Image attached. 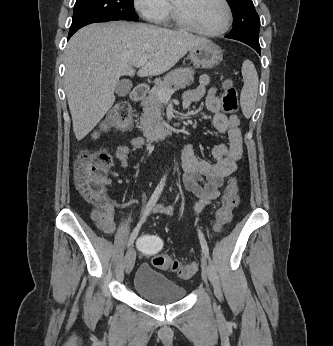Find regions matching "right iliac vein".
I'll return each mask as SVG.
<instances>
[{"label":"right iliac vein","instance_id":"right-iliac-vein-1","mask_svg":"<svg viewBox=\"0 0 333 346\" xmlns=\"http://www.w3.org/2000/svg\"><path fill=\"white\" fill-rule=\"evenodd\" d=\"M136 259V253L134 248H130L125 256L124 265H125V271L127 274H129L135 264Z\"/></svg>","mask_w":333,"mask_h":346}]
</instances>
